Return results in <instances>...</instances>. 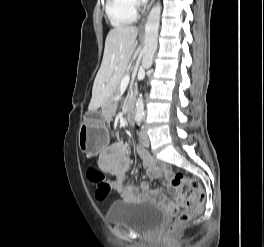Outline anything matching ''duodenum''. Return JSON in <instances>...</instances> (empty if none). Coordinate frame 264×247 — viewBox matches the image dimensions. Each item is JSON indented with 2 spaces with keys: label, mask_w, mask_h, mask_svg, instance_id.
Here are the masks:
<instances>
[{
  "label": "duodenum",
  "mask_w": 264,
  "mask_h": 247,
  "mask_svg": "<svg viewBox=\"0 0 264 247\" xmlns=\"http://www.w3.org/2000/svg\"><path fill=\"white\" fill-rule=\"evenodd\" d=\"M127 121L128 123L131 125L134 121V114H133V110L129 109V111L127 112Z\"/></svg>",
  "instance_id": "duodenum-1"
}]
</instances>
